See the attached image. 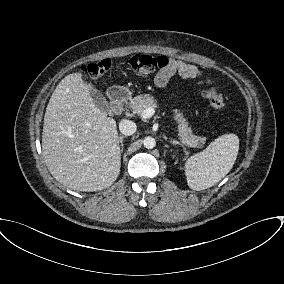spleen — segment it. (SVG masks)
<instances>
[{
    "label": "spleen",
    "mask_w": 284,
    "mask_h": 284,
    "mask_svg": "<svg viewBox=\"0 0 284 284\" xmlns=\"http://www.w3.org/2000/svg\"><path fill=\"white\" fill-rule=\"evenodd\" d=\"M239 150L235 134L219 136L203 151L188 158L185 175L193 190H204L218 183L232 169Z\"/></svg>",
    "instance_id": "3e777b00"
}]
</instances>
